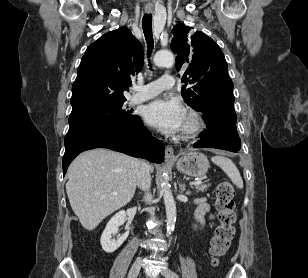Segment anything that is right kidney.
<instances>
[{
  "label": "right kidney",
  "instance_id": "obj_1",
  "mask_svg": "<svg viewBox=\"0 0 308 278\" xmlns=\"http://www.w3.org/2000/svg\"><path fill=\"white\" fill-rule=\"evenodd\" d=\"M126 219L125 211L116 213L107 223L100 239L102 249L107 253H112L118 249L122 243L127 239L129 231L119 236L117 239H111L112 234H116L118 228L124 224Z\"/></svg>",
  "mask_w": 308,
  "mask_h": 278
}]
</instances>
